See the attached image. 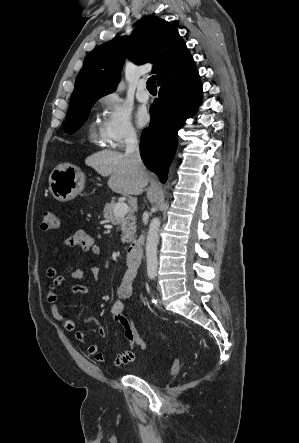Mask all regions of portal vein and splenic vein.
I'll list each match as a JSON object with an SVG mask.
<instances>
[{
	"mask_svg": "<svg viewBox=\"0 0 299 443\" xmlns=\"http://www.w3.org/2000/svg\"><path fill=\"white\" fill-rule=\"evenodd\" d=\"M129 211V207L126 203L124 202H118L116 203L115 207H114V214L116 217H124Z\"/></svg>",
	"mask_w": 299,
	"mask_h": 443,
	"instance_id": "18ae733b",
	"label": "portal vein and splenic vein"
}]
</instances>
